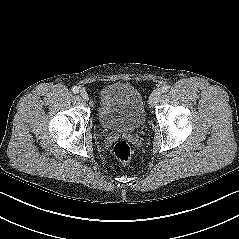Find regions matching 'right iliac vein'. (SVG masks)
<instances>
[{"instance_id": "1", "label": "right iliac vein", "mask_w": 239, "mask_h": 239, "mask_svg": "<svg viewBox=\"0 0 239 239\" xmlns=\"http://www.w3.org/2000/svg\"><path fill=\"white\" fill-rule=\"evenodd\" d=\"M80 97L82 98L83 101H88L89 100V96L87 94V92L85 90H80L79 92Z\"/></svg>"}]
</instances>
